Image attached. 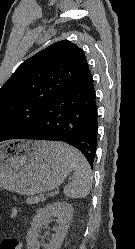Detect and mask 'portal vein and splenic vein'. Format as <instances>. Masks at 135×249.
Returning a JSON list of instances; mask_svg holds the SVG:
<instances>
[{"label": "portal vein and splenic vein", "instance_id": "1", "mask_svg": "<svg viewBox=\"0 0 135 249\" xmlns=\"http://www.w3.org/2000/svg\"><path fill=\"white\" fill-rule=\"evenodd\" d=\"M50 195V193H48L46 196H49Z\"/></svg>", "mask_w": 135, "mask_h": 249}]
</instances>
